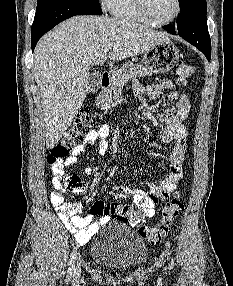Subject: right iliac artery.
<instances>
[{
	"label": "right iliac artery",
	"mask_w": 233,
	"mask_h": 286,
	"mask_svg": "<svg viewBox=\"0 0 233 286\" xmlns=\"http://www.w3.org/2000/svg\"><path fill=\"white\" fill-rule=\"evenodd\" d=\"M77 254H78L77 247H74V249H73V251L71 253V256H70L69 267H68V274H67V282L70 281V279L72 277Z\"/></svg>",
	"instance_id": "right-iliac-artery-1"
}]
</instances>
